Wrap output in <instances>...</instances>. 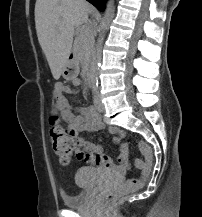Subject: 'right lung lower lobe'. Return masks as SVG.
<instances>
[{
    "mask_svg": "<svg viewBox=\"0 0 202 217\" xmlns=\"http://www.w3.org/2000/svg\"><path fill=\"white\" fill-rule=\"evenodd\" d=\"M87 1L93 4L99 11H103L105 2L107 0H87Z\"/></svg>",
    "mask_w": 202,
    "mask_h": 217,
    "instance_id": "98d812e1",
    "label": "right lung lower lobe"
}]
</instances>
